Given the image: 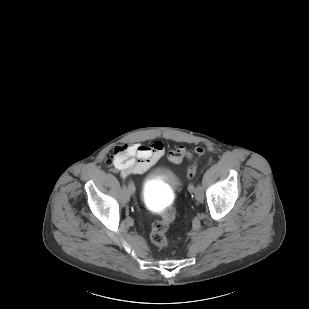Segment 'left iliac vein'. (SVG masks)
<instances>
[{
	"label": "left iliac vein",
	"instance_id": "left-iliac-vein-1",
	"mask_svg": "<svg viewBox=\"0 0 309 309\" xmlns=\"http://www.w3.org/2000/svg\"><path fill=\"white\" fill-rule=\"evenodd\" d=\"M188 189H189L190 192H192L193 185H190ZM194 194H195V199H196L197 202H202L203 201L204 194H203L202 189H198V190L195 189Z\"/></svg>",
	"mask_w": 309,
	"mask_h": 309
}]
</instances>
